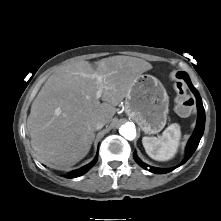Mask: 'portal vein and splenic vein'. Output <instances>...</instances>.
I'll list each match as a JSON object with an SVG mask.
<instances>
[{
    "mask_svg": "<svg viewBox=\"0 0 221 221\" xmlns=\"http://www.w3.org/2000/svg\"><path fill=\"white\" fill-rule=\"evenodd\" d=\"M97 80H98L99 83H102L103 77L102 76H97ZM101 95H102V90L99 89L96 93V98L99 99L101 97Z\"/></svg>",
    "mask_w": 221,
    "mask_h": 221,
    "instance_id": "1",
    "label": "portal vein and splenic vein"
}]
</instances>
